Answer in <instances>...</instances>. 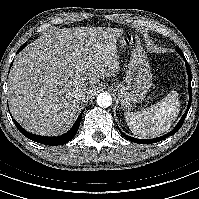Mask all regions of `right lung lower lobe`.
I'll list each match as a JSON object with an SVG mask.
<instances>
[{"instance_id": "obj_1", "label": "right lung lower lobe", "mask_w": 199, "mask_h": 199, "mask_svg": "<svg viewBox=\"0 0 199 199\" xmlns=\"http://www.w3.org/2000/svg\"><path fill=\"white\" fill-rule=\"evenodd\" d=\"M25 47V44H23L18 52H20L23 48ZM12 65V63H11ZM11 115V114H10ZM12 117V116H11ZM81 118H82V113L79 115L78 119L76 120L75 124L73 125V127L65 134L61 135V136H57V137H46V136H39V135H35L32 133H29L27 131H25L12 117L14 124L16 125V127L18 128V130L28 139L41 143V144H45V145H62L65 144L67 142H69L77 133L78 129H79V125L81 122Z\"/></svg>"}]
</instances>
